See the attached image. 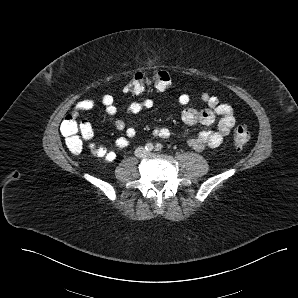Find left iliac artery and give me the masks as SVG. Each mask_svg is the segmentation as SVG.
Masks as SVG:
<instances>
[{
  "label": "left iliac artery",
  "instance_id": "44dca946",
  "mask_svg": "<svg viewBox=\"0 0 298 298\" xmlns=\"http://www.w3.org/2000/svg\"><path fill=\"white\" fill-rule=\"evenodd\" d=\"M162 147L163 146L160 143H157L155 146V149H156V151H161Z\"/></svg>",
  "mask_w": 298,
  "mask_h": 298
}]
</instances>
